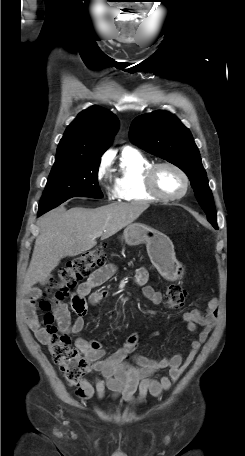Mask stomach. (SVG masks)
<instances>
[{
    "instance_id": "stomach-1",
    "label": "stomach",
    "mask_w": 245,
    "mask_h": 456,
    "mask_svg": "<svg viewBox=\"0 0 245 456\" xmlns=\"http://www.w3.org/2000/svg\"><path fill=\"white\" fill-rule=\"evenodd\" d=\"M122 238L129 246L145 243L151 262L166 279L174 280L181 275L174 247L163 233L147 225L133 223L124 230Z\"/></svg>"
}]
</instances>
